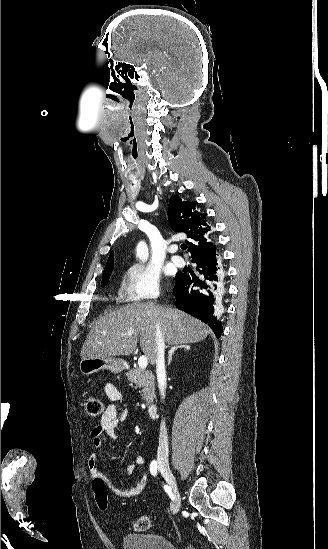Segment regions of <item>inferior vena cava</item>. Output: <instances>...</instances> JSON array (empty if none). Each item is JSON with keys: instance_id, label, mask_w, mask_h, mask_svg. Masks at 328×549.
<instances>
[{"instance_id": "602c4592", "label": "inferior vena cava", "mask_w": 328, "mask_h": 549, "mask_svg": "<svg viewBox=\"0 0 328 549\" xmlns=\"http://www.w3.org/2000/svg\"><path fill=\"white\" fill-rule=\"evenodd\" d=\"M156 339V375L158 379L159 393L161 399H165L166 393V371H165V343L163 335L157 325L155 331ZM168 453V435L165 425V421H162L160 425L159 445H158V459L164 457Z\"/></svg>"}]
</instances>
